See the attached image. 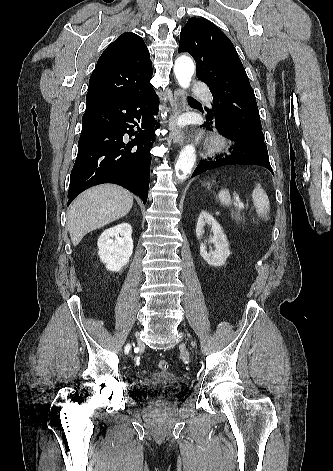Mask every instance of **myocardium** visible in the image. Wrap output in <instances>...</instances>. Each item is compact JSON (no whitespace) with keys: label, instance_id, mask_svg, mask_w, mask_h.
Masks as SVG:
<instances>
[{"label":"myocardium","instance_id":"1","mask_svg":"<svg viewBox=\"0 0 333 471\" xmlns=\"http://www.w3.org/2000/svg\"><path fill=\"white\" fill-rule=\"evenodd\" d=\"M226 147L227 140L220 135L212 136L207 144V150L210 154L220 153L225 150Z\"/></svg>","mask_w":333,"mask_h":471}]
</instances>
